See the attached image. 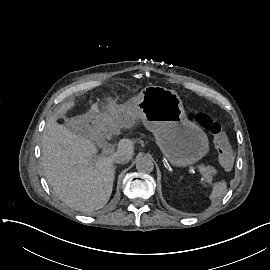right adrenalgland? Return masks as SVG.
Wrapping results in <instances>:
<instances>
[{
    "label": "right adrenal gland",
    "instance_id": "2a0ac1e0",
    "mask_svg": "<svg viewBox=\"0 0 270 270\" xmlns=\"http://www.w3.org/2000/svg\"><path fill=\"white\" fill-rule=\"evenodd\" d=\"M113 169H114V172H115L116 166H114Z\"/></svg>",
    "mask_w": 270,
    "mask_h": 270
}]
</instances>
